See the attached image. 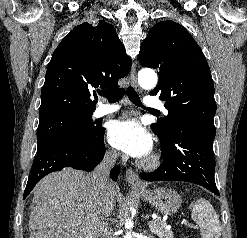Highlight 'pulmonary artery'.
Masks as SVG:
<instances>
[{
  "label": "pulmonary artery",
  "mask_w": 247,
  "mask_h": 238,
  "mask_svg": "<svg viewBox=\"0 0 247 238\" xmlns=\"http://www.w3.org/2000/svg\"><path fill=\"white\" fill-rule=\"evenodd\" d=\"M144 105L148 108L155 110V109H162L163 111H166L163 107L162 103L155 97H146L144 99ZM121 109L119 105L116 104H102L97 107L95 110V116L101 117L104 115H109L118 112Z\"/></svg>",
  "instance_id": "1"
}]
</instances>
